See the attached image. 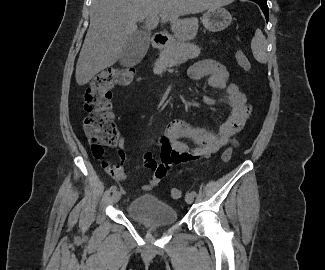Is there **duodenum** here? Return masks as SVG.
Listing matches in <instances>:
<instances>
[{
  "label": "duodenum",
  "mask_w": 325,
  "mask_h": 270,
  "mask_svg": "<svg viewBox=\"0 0 325 270\" xmlns=\"http://www.w3.org/2000/svg\"><path fill=\"white\" fill-rule=\"evenodd\" d=\"M152 39H153L154 47L160 48L166 42L167 37L165 36L164 33L157 32L153 35Z\"/></svg>",
  "instance_id": "1"
}]
</instances>
